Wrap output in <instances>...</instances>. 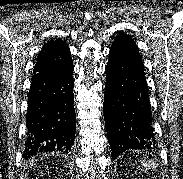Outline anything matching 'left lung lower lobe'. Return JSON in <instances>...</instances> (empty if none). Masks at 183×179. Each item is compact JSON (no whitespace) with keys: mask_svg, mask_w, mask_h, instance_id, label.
<instances>
[{"mask_svg":"<svg viewBox=\"0 0 183 179\" xmlns=\"http://www.w3.org/2000/svg\"><path fill=\"white\" fill-rule=\"evenodd\" d=\"M103 107L113 159L129 149H154L142 58L134 40L126 34L118 35L109 51Z\"/></svg>","mask_w":183,"mask_h":179,"instance_id":"1","label":"left lung lower lobe"}]
</instances>
